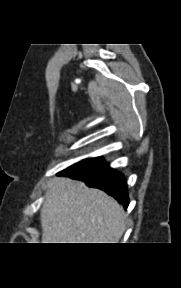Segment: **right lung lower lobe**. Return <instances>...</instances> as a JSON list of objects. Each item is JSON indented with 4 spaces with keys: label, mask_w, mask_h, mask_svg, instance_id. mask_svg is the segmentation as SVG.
I'll list each match as a JSON object with an SVG mask.
<instances>
[{
    "label": "right lung lower lobe",
    "mask_w": 181,
    "mask_h": 288,
    "mask_svg": "<svg viewBox=\"0 0 181 288\" xmlns=\"http://www.w3.org/2000/svg\"><path fill=\"white\" fill-rule=\"evenodd\" d=\"M61 174L84 181L90 187L105 191L121 203L125 209L129 205L124 175L102 161L75 164L63 170Z\"/></svg>",
    "instance_id": "98d812e1"
}]
</instances>
